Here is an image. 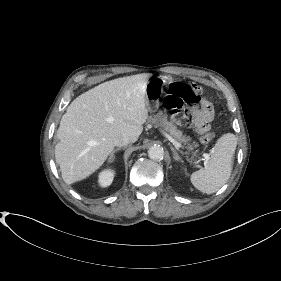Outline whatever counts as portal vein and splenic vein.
<instances>
[{
    "instance_id": "obj_1",
    "label": "portal vein and splenic vein",
    "mask_w": 281,
    "mask_h": 281,
    "mask_svg": "<svg viewBox=\"0 0 281 281\" xmlns=\"http://www.w3.org/2000/svg\"><path fill=\"white\" fill-rule=\"evenodd\" d=\"M163 135L174 145L175 148H183V146L177 142L172 136L167 134L166 132L162 131ZM202 156L205 158L206 161L209 160V154L208 153H203Z\"/></svg>"
}]
</instances>
